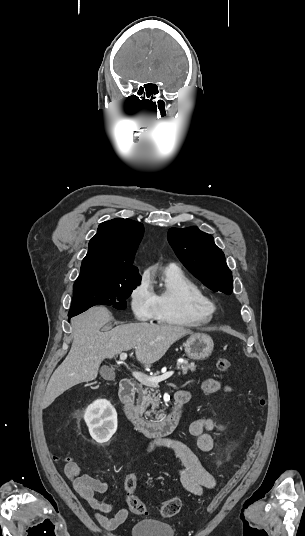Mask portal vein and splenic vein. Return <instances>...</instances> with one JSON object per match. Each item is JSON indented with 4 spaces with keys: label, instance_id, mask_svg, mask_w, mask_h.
Listing matches in <instances>:
<instances>
[{
    "label": "portal vein and splenic vein",
    "instance_id": "18ae733b",
    "mask_svg": "<svg viewBox=\"0 0 305 536\" xmlns=\"http://www.w3.org/2000/svg\"><path fill=\"white\" fill-rule=\"evenodd\" d=\"M127 354H120V360H126ZM178 362H183V360H178ZM174 372H162V376H154V378H150V376H145V374H142V372H132V376L138 380V382H141V384H152V386H158L159 382H163V380H168V378H171L173 376Z\"/></svg>",
    "mask_w": 305,
    "mask_h": 536
}]
</instances>
